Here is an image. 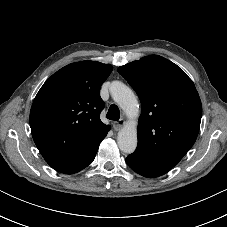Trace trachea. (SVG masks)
Wrapping results in <instances>:
<instances>
[{
	"mask_svg": "<svg viewBox=\"0 0 227 227\" xmlns=\"http://www.w3.org/2000/svg\"><path fill=\"white\" fill-rule=\"evenodd\" d=\"M106 118H108L109 120H114V121H118L120 118V110L119 108L115 105L112 104L108 110V113L106 115Z\"/></svg>",
	"mask_w": 227,
	"mask_h": 227,
	"instance_id": "trachea-1",
	"label": "trachea"
}]
</instances>
